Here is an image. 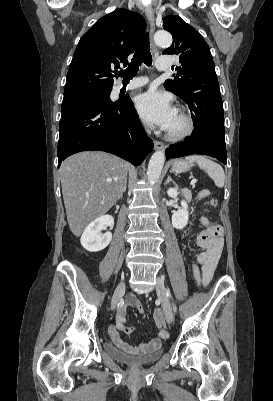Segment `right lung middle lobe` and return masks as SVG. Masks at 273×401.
<instances>
[{"label":"right lung middle lobe","instance_id":"obj_1","mask_svg":"<svg viewBox=\"0 0 273 401\" xmlns=\"http://www.w3.org/2000/svg\"><path fill=\"white\" fill-rule=\"evenodd\" d=\"M112 90L94 91L77 95L64 96L61 110H67L74 106L95 104V105H112L115 102L110 100V92Z\"/></svg>","mask_w":273,"mask_h":401}]
</instances>
